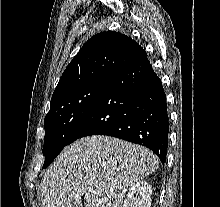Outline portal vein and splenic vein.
Wrapping results in <instances>:
<instances>
[{
  "mask_svg": "<svg viewBox=\"0 0 220 207\" xmlns=\"http://www.w3.org/2000/svg\"><path fill=\"white\" fill-rule=\"evenodd\" d=\"M90 191H91V192H96V193H99V190H96V189H95V188H93V187H92V188H90Z\"/></svg>",
  "mask_w": 220,
  "mask_h": 207,
  "instance_id": "obj_1",
  "label": "portal vein and splenic vein"
}]
</instances>
